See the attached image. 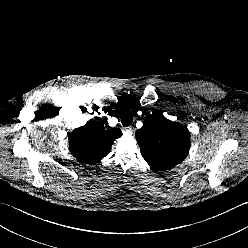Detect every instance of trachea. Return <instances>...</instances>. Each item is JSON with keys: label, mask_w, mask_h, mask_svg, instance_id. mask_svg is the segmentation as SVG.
Segmentation results:
<instances>
[{"label": "trachea", "mask_w": 248, "mask_h": 248, "mask_svg": "<svg viewBox=\"0 0 248 248\" xmlns=\"http://www.w3.org/2000/svg\"><path fill=\"white\" fill-rule=\"evenodd\" d=\"M121 122H122L123 126H129V125L132 124V122H133V114L129 109H125L121 113Z\"/></svg>", "instance_id": "3493384b"}]
</instances>
